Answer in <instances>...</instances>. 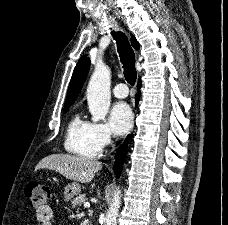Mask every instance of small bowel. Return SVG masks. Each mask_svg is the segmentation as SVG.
<instances>
[{
  "instance_id": "small-bowel-1",
  "label": "small bowel",
  "mask_w": 228,
  "mask_h": 225,
  "mask_svg": "<svg viewBox=\"0 0 228 225\" xmlns=\"http://www.w3.org/2000/svg\"><path fill=\"white\" fill-rule=\"evenodd\" d=\"M53 212L49 206L36 211L37 225H52Z\"/></svg>"
}]
</instances>
